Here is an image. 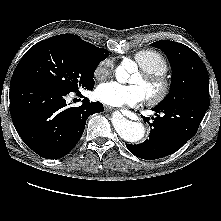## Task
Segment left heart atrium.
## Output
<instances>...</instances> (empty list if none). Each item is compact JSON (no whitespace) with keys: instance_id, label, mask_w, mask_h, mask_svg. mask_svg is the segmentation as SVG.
Instances as JSON below:
<instances>
[{"instance_id":"left-heart-atrium-1","label":"left heart atrium","mask_w":221,"mask_h":221,"mask_svg":"<svg viewBox=\"0 0 221 221\" xmlns=\"http://www.w3.org/2000/svg\"><path fill=\"white\" fill-rule=\"evenodd\" d=\"M95 96L99 101L115 107L136 106L146 98L141 86L125 85L115 81L100 84L95 91Z\"/></svg>"}]
</instances>
